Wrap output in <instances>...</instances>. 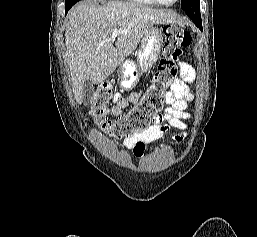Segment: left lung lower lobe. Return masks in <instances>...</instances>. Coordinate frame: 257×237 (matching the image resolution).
Returning a JSON list of instances; mask_svg holds the SVG:
<instances>
[{
  "mask_svg": "<svg viewBox=\"0 0 257 237\" xmlns=\"http://www.w3.org/2000/svg\"><path fill=\"white\" fill-rule=\"evenodd\" d=\"M193 20V22L196 24V26L202 30V22H201V17L196 18V17H192L191 18Z\"/></svg>",
  "mask_w": 257,
  "mask_h": 237,
  "instance_id": "obj_1",
  "label": "left lung lower lobe"
}]
</instances>
